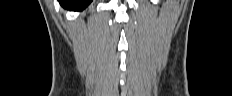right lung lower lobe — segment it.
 Listing matches in <instances>:
<instances>
[{
    "instance_id": "1",
    "label": "right lung lower lobe",
    "mask_w": 232,
    "mask_h": 96,
    "mask_svg": "<svg viewBox=\"0 0 232 96\" xmlns=\"http://www.w3.org/2000/svg\"><path fill=\"white\" fill-rule=\"evenodd\" d=\"M61 6L67 9H84L92 0H58Z\"/></svg>"
}]
</instances>
